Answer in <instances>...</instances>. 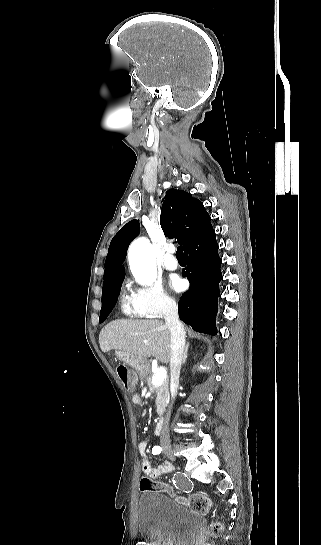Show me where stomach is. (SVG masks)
Returning <instances> with one entry per match:
<instances>
[{
    "label": "stomach",
    "mask_w": 321,
    "mask_h": 545,
    "mask_svg": "<svg viewBox=\"0 0 321 545\" xmlns=\"http://www.w3.org/2000/svg\"><path fill=\"white\" fill-rule=\"evenodd\" d=\"M115 355L119 361H123L128 367H132L138 375H145L150 367L147 357H136V355H131L128 351H115Z\"/></svg>",
    "instance_id": "obj_1"
}]
</instances>
